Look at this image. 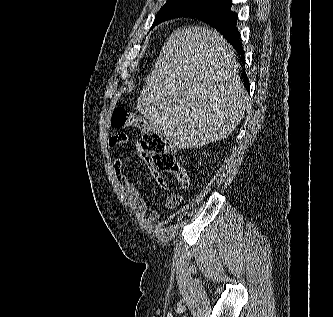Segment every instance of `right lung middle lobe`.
Instances as JSON below:
<instances>
[{
  "label": "right lung middle lobe",
  "mask_w": 333,
  "mask_h": 317,
  "mask_svg": "<svg viewBox=\"0 0 333 317\" xmlns=\"http://www.w3.org/2000/svg\"><path fill=\"white\" fill-rule=\"evenodd\" d=\"M228 0H168L156 14L153 26L169 19L193 17L225 7Z\"/></svg>",
  "instance_id": "1"
}]
</instances>
